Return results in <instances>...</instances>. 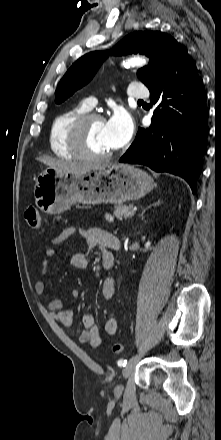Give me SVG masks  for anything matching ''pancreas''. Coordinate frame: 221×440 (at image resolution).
Segmentation results:
<instances>
[{
  "instance_id": "pancreas-1",
  "label": "pancreas",
  "mask_w": 221,
  "mask_h": 440,
  "mask_svg": "<svg viewBox=\"0 0 221 440\" xmlns=\"http://www.w3.org/2000/svg\"><path fill=\"white\" fill-rule=\"evenodd\" d=\"M133 205H115L113 214L119 219L127 218V214L133 209ZM109 214H105V217L107 218Z\"/></svg>"
}]
</instances>
